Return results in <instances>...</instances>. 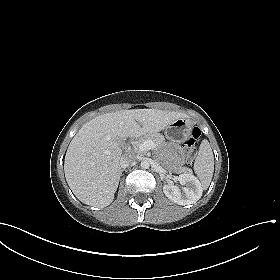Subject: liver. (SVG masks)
<instances>
[{
    "mask_svg": "<svg viewBox=\"0 0 280 280\" xmlns=\"http://www.w3.org/2000/svg\"><path fill=\"white\" fill-rule=\"evenodd\" d=\"M187 115L158 109L120 110L85 123L65 155L66 181L84 204L104 208L114 199L121 176L119 139L157 133Z\"/></svg>",
    "mask_w": 280,
    "mask_h": 280,
    "instance_id": "obj_1",
    "label": "liver"
}]
</instances>
